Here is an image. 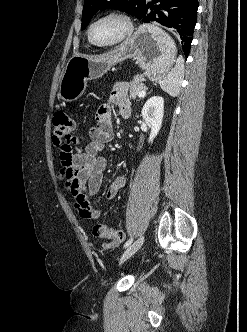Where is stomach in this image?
<instances>
[{"label": "stomach", "instance_id": "obj_1", "mask_svg": "<svg viewBox=\"0 0 247 332\" xmlns=\"http://www.w3.org/2000/svg\"><path fill=\"white\" fill-rule=\"evenodd\" d=\"M176 46L171 37L154 24L140 26L119 48L98 59L73 56L62 74L58 97L64 102L79 99L87 81L102 77L112 66L136 58L153 81L163 79L176 59Z\"/></svg>", "mask_w": 247, "mask_h": 332}]
</instances>
